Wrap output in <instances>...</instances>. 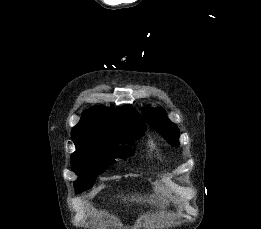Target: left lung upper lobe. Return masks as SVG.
Instances as JSON below:
<instances>
[{
	"label": "left lung upper lobe",
	"instance_id": "5c2ea615",
	"mask_svg": "<svg viewBox=\"0 0 261 229\" xmlns=\"http://www.w3.org/2000/svg\"><path fill=\"white\" fill-rule=\"evenodd\" d=\"M146 121L172 146H179V128L172 123L162 108L143 109Z\"/></svg>",
	"mask_w": 261,
	"mask_h": 229
}]
</instances>
